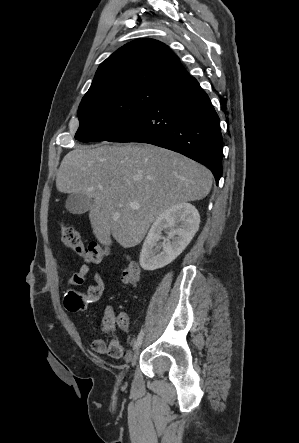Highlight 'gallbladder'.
<instances>
[{
	"instance_id": "bac80fb5",
	"label": "gallbladder",
	"mask_w": 299,
	"mask_h": 443,
	"mask_svg": "<svg viewBox=\"0 0 299 443\" xmlns=\"http://www.w3.org/2000/svg\"><path fill=\"white\" fill-rule=\"evenodd\" d=\"M93 205V199L82 193H72L68 196L65 207L74 214L81 215L91 209Z\"/></svg>"
}]
</instances>
